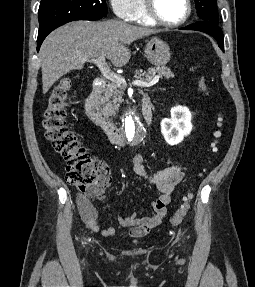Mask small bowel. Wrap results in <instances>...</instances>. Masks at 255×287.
<instances>
[{"label":"small bowel","instance_id":"small-bowel-1","mask_svg":"<svg viewBox=\"0 0 255 287\" xmlns=\"http://www.w3.org/2000/svg\"><path fill=\"white\" fill-rule=\"evenodd\" d=\"M133 171L148 184L154 186L159 192L152 202V215L147 217H140L136 213L116 215L118 223L122 227L129 228L127 232L128 235L140 237L146 235L151 229L162 223L167 214L168 205L171 202V195L183 180L184 172L180 164H174L153 174H149L144 166L143 156L141 154H136L133 158ZM110 182V171L106 166L102 165L101 176L96 187L85 195H77L78 209L83 222L92 231L99 232L104 237L114 236L116 229L114 227H100L98 212L93 205V199H103L106 195V188L110 185Z\"/></svg>","mask_w":255,"mask_h":287}]
</instances>
